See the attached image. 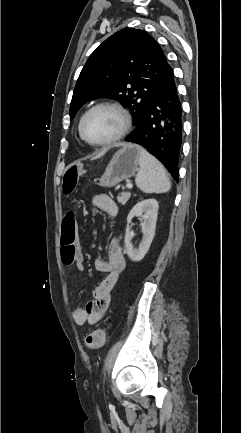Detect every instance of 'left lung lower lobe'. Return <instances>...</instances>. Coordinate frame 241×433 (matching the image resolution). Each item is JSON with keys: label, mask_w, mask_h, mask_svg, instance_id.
Wrapping results in <instances>:
<instances>
[{"label": "left lung lower lobe", "mask_w": 241, "mask_h": 433, "mask_svg": "<svg viewBox=\"0 0 241 433\" xmlns=\"http://www.w3.org/2000/svg\"><path fill=\"white\" fill-rule=\"evenodd\" d=\"M125 140L145 147L178 180L182 109L171 67L162 87L143 111L136 129Z\"/></svg>", "instance_id": "obj_1"}]
</instances>
